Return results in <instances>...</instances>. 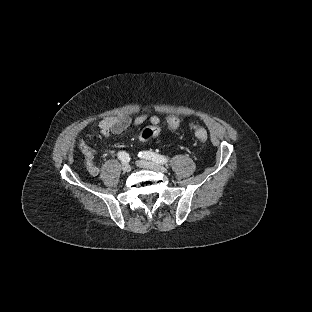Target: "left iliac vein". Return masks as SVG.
<instances>
[{"label":"left iliac vein","mask_w":312,"mask_h":312,"mask_svg":"<svg viewBox=\"0 0 312 312\" xmlns=\"http://www.w3.org/2000/svg\"><path fill=\"white\" fill-rule=\"evenodd\" d=\"M138 166L141 168L152 169V170L162 172V173L167 172V169L164 166H162L160 164H156V163L151 162V161L141 160L138 162Z\"/></svg>","instance_id":"4c4485c4"}]
</instances>
